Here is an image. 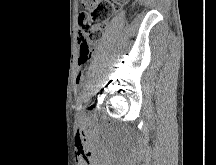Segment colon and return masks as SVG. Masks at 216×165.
Returning a JSON list of instances; mask_svg holds the SVG:
<instances>
[{"label": "colon", "instance_id": "1", "mask_svg": "<svg viewBox=\"0 0 216 165\" xmlns=\"http://www.w3.org/2000/svg\"><path fill=\"white\" fill-rule=\"evenodd\" d=\"M122 0H82L83 11L78 17L79 61L86 63L108 21Z\"/></svg>", "mask_w": 216, "mask_h": 165}]
</instances>
